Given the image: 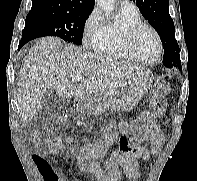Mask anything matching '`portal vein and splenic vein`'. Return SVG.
<instances>
[{
    "mask_svg": "<svg viewBox=\"0 0 197 181\" xmlns=\"http://www.w3.org/2000/svg\"><path fill=\"white\" fill-rule=\"evenodd\" d=\"M73 81H82L84 80V78L81 75H76L72 77Z\"/></svg>",
    "mask_w": 197,
    "mask_h": 181,
    "instance_id": "obj_1",
    "label": "portal vein and splenic vein"
}]
</instances>
